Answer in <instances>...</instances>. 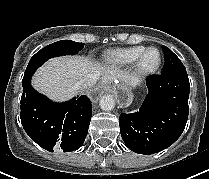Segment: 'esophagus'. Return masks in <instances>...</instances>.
Masks as SVG:
<instances>
[{
	"instance_id": "obj_1",
	"label": "esophagus",
	"mask_w": 209,
	"mask_h": 179,
	"mask_svg": "<svg viewBox=\"0 0 209 179\" xmlns=\"http://www.w3.org/2000/svg\"><path fill=\"white\" fill-rule=\"evenodd\" d=\"M108 94L110 97H113L118 101V103L122 106H125L129 103L130 98L123 90H117L116 88H112L111 86L99 85L98 87L92 88L87 93V98L90 101H95L102 94Z\"/></svg>"
}]
</instances>
